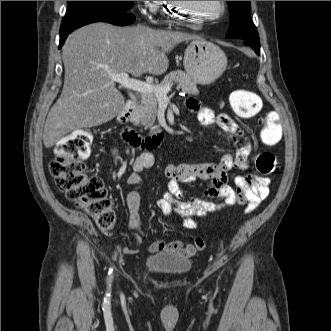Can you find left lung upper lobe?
I'll use <instances>...</instances> for the list:
<instances>
[{
	"instance_id": "5c2ea615",
	"label": "left lung upper lobe",
	"mask_w": 331,
	"mask_h": 331,
	"mask_svg": "<svg viewBox=\"0 0 331 331\" xmlns=\"http://www.w3.org/2000/svg\"><path fill=\"white\" fill-rule=\"evenodd\" d=\"M230 11V25L227 38L241 40L258 39L256 26L251 20L250 1H227Z\"/></svg>"
}]
</instances>
